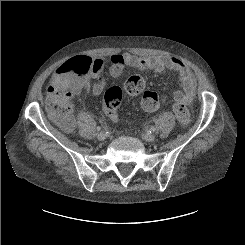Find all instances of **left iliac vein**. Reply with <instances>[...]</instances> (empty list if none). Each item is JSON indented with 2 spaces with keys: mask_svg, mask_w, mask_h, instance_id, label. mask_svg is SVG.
<instances>
[{
  "mask_svg": "<svg viewBox=\"0 0 245 245\" xmlns=\"http://www.w3.org/2000/svg\"><path fill=\"white\" fill-rule=\"evenodd\" d=\"M142 139L148 142H153L155 141V136L151 134H143Z\"/></svg>",
  "mask_w": 245,
  "mask_h": 245,
  "instance_id": "obj_1",
  "label": "left iliac vein"
}]
</instances>
